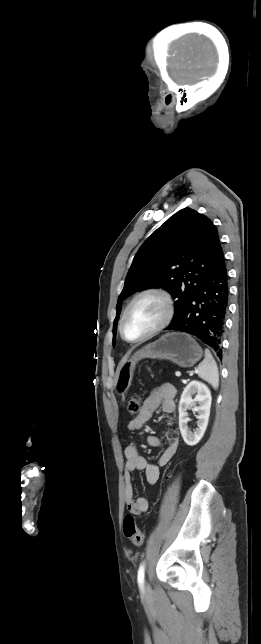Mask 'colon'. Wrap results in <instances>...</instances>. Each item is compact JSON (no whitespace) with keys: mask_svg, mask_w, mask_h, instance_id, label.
<instances>
[{"mask_svg":"<svg viewBox=\"0 0 261 644\" xmlns=\"http://www.w3.org/2000/svg\"><path fill=\"white\" fill-rule=\"evenodd\" d=\"M142 407V399L139 396H133L128 402V412L137 416ZM123 533L135 546H140L143 543V534L139 529L135 518L128 514L123 519Z\"/></svg>","mask_w":261,"mask_h":644,"instance_id":"1","label":"colon"}]
</instances>
